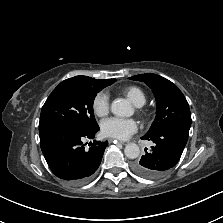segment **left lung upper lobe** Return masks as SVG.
Listing matches in <instances>:
<instances>
[{
  "label": "left lung upper lobe",
  "mask_w": 223,
  "mask_h": 223,
  "mask_svg": "<svg viewBox=\"0 0 223 223\" xmlns=\"http://www.w3.org/2000/svg\"><path fill=\"white\" fill-rule=\"evenodd\" d=\"M129 79L146 83L152 89L157 102L156 118L146 135H154L168 128L189 132V104L175 84L153 73L139 74Z\"/></svg>",
  "instance_id": "left-lung-upper-lobe-1"
}]
</instances>
